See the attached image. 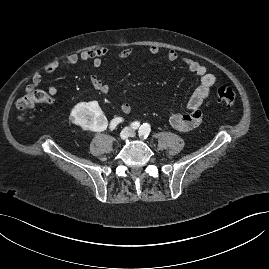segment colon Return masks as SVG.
Segmentation results:
<instances>
[{
	"mask_svg": "<svg viewBox=\"0 0 269 269\" xmlns=\"http://www.w3.org/2000/svg\"><path fill=\"white\" fill-rule=\"evenodd\" d=\"M216 99L225 106L232 109L236 103L237 93L231 86H220L215 91ZM45 93L33 85H29L25 93L18 99L17 108L24 111L41 102H44Z\"/></svg>",
	"mask_w": 269,
	"mask_h": 269,
	"instance_id": "5ec220e1",
	"label": "colon"
}]
</instances>
